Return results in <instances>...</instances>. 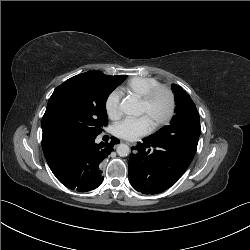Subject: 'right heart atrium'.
I'll return each instance as SVG.
<instances>
[{
	"label": "right heart atrium",
	"instance_id": "obj_1",
	"mask_svg": "<svg viewBox=\"0 0 250 250\" xmlns=\"http://www.w3.org/2000/svg\"><path fill=\"white\" fill-rule=\"evenodd\" d=\"M120 99L121 94L118 90H113L106 97L104 107L105 112L110 119H117L120 117Z\"/></svg>",
	"mask_w": 250,
	"mask_h": 250
}]
</instances>
